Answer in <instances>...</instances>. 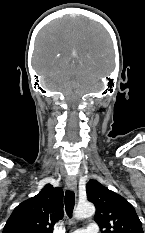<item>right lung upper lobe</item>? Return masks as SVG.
Returning a JSON list of instances; mask_svg holds the SVG:
<instances>
[{
	"mask_svg": "<svg viewBox=\"0 0 145 233\" xmlns=\"http://www.w3.org/2000/svg\"><path fill=\"white\" fill-rule=\"evenodd\" d=\"M62 217L63 191L47 184L13 210L3 233H53V225Z\"/></svg>",
	"mask_w": 145,
	"mask_h": 233,
	"instance_id": "1",
	"label": "right lung upper lobe"
}]
</instances>
